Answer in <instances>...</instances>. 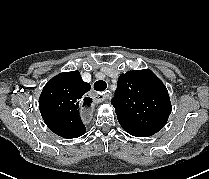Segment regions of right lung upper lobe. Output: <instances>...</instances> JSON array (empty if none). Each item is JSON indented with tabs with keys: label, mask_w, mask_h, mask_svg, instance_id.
Masks as SVG:
<instances>
[{
	"label": "right lung upper lobe",
	"mask_w": 209,
	"mask_h": 179,
	"mask_svg": "<svg viewBox=\"0 0 209 179\" xmlns=\"http://www.w3.org/2000/svg\"><path fill=\"white\" fill-rule=\"evenodd\" d=\"M90 88L78 71L60 73L47 82L39 97V109L52 132L63 138L85 133L80 110L91 105L92 99L86 96Z\"/></svg>",
	"instance_id": "1"
}]
</instances>
